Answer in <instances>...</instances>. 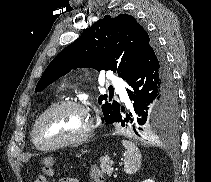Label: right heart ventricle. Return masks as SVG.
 <instances>
[{"mask_svg":"<svg viewBox=\"0 0 211 182\" xmlns=\"http://www.w3.org/2000/svg\"><path fill=\"white\" fill-rule=\"evenodd\" d=\"M48 108H50V107H48ZM48 108H47V109H48ZM47 109H46V110H47ZM46 110H45V111H46ZM34 123H35V122H34ZM33 125H34V124H33ZM33 125H32V129H33ZM32 129H31V138H32ZM32 141H33V139H32ZM33 143H34V141H33ZM34 144H35V143H34Z\"/></svg>","mask_w":211,"mask_h":182,"instance_id":"obj_1","label":"right heart ventricle"}]
</instances>
